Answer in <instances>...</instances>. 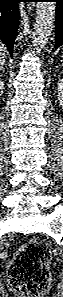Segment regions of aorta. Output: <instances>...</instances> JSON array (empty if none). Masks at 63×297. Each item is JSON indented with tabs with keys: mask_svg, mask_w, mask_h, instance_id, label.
Returning a JSON list of instances; mask_svg holds the SVG:
<instances>
[{
	"mask_svg": "<svg viewBox=\"0 0 63 297\" xmlns=\"http://www.w3.org/2000/svg\"><path fill=\"white\" fill-rule=\"evenodd\" d=\"M54 22L55 4L53 2H38L33 35V46L36 52L43 49L48 42Z\"/></svg>",
	"mask_w": 63,
	"mask_h": 297,
	"instance_id": "1",
	"label": "aorta"
}]
</instances>
